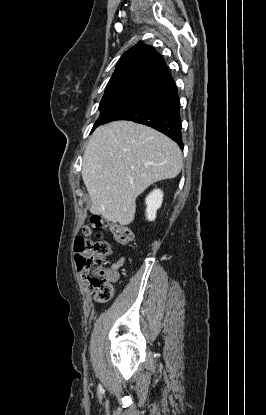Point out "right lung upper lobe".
Wrapping results in <instances>:
<instances>
[{"instance_id":"1","label":"right lung upper lobe","mask_w":266,"mask_h":415,"mask_svg":"<svg viewBox=\"0 0 266 415\" xmlns=\"http://www.w3.org/2000/svg\"><path fill=\"white\" fill-rule=\"evenodd\" d=\"M172 80L161 55L151 46L140 43L120 57L105 92L131 90L151 93Z\"/></svg>"}]
</instances>
